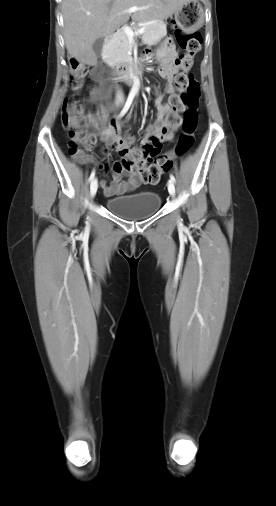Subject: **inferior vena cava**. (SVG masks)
<instances>
[{
  "instance_id": "inferior-vena-cava-1",
  "label": "inferior vena cava",
  "mask_w": 276,
  "mask_h": 506,
  "mask_svg": "<svg viewBox=\"0 0 276 506\" xmlns=\"http://www.w3.org/2000/svg\"><path fill=\"white\" fill-rule=\"evenodd\" d=\"M118 98H119V99H121V98H122L121 94H120V95H118Z\"/></svg>"
}]
</instances>
